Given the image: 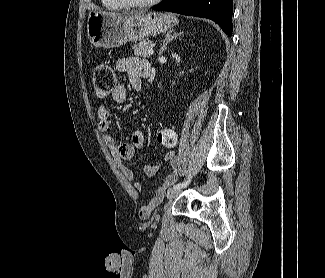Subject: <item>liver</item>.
Here are the masks:
<instances>
[{
  "label": "liver",
  "instance_id": "1",
  "mask_svg": "<svg viewBox=\"0 0 325 278\" xmlns=\"http://www.w3.org/2000/svg\"><path fill=\"white\" fill-rule=\"evenodd\" d=\"M103 14H106V15H110V16H120L119 14H115V13H110V12H102ZM136 14H141V13H136Z\"/></svg>",
  "mask_w": 325,
  "mask_h": 278
}]
</instances>
